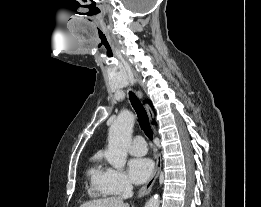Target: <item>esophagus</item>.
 Returning a JSON list of instances; mask_svg holds the SVG:
<instances>
[{
  "instance_id": "34e87169",
  "label": "esophagus",
  "mask_w": 261,
  "mask_h": 207,
  "mask_svg": "<svg viewBox=\"0 0 261 207\" xmlns=\"http://www.w3.org/2000/svg\"><path fill=\"white\" fill-rule=\"evenodd\" d=\"M145 107L148 112L150 120H152L153 112H152L150 106L148 104H145ZM160 170H161V160L159 158H157L155 170H154L152 176L150 177V179L148 180V182L139 190L138 197H143L150 193L152 186L154 185L156 179L159 176Z\"/></svg>"
}]
</instances>
